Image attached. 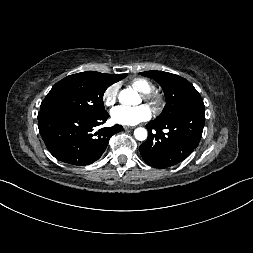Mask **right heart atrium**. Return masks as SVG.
Masks as SVG:
<instances>
[{"label": "right heart atrium", "mask_w": 253, "mask_h": 253, "mask_svg": "<svg viewBox=\"0 0 253 253\" xmlns=\"http://www.w3.org/2000/svg\"><path fill=\"white\" fill-rule=\"evenodd\" d=\"M119 85L113 83L105 88L102 94V100L105 106L113 107L118 99Z\"/></svg>", "instance_id": "1"}]
</instances>
